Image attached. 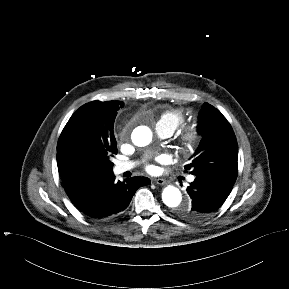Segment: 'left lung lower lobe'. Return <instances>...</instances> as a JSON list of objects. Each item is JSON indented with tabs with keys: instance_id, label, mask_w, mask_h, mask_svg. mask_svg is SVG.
Instances as JSON below:
<instances>
[{
	"instance_id": "left-lung-lower-lobe-1",
	"label": "left lung lower lobe",
	"mask_w": 289,
	"mask_h": 289,
	"mask_svg": "<svg viewBox=\"0 0 289 289\" xmlns=\"http://www.w3.org/2000/svg\"><path fill=\"white\" fill-rule=\"evenodd\" d=\"M233 182L212 177L197 176L187 187L192 206L185 214L187 219L198 220L219 208L230 194Z\"/></svg>"
}]
</instances>
